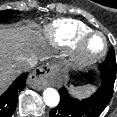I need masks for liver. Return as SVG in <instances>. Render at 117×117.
<instances>
[{"instance_id": "1", "label": "liver", "mask_w": 117, "mask_h": 117, "mask_svg": "<svg viewBox=\"0 0 117 117\" xmlns=\"http://www.w3.org/2000/svg\"><path fill=\"white\" fill-rule=\"evenodd\" d=\"M43 57L42 37L31 28H0V94L21 73V63Z\"/></svg>"}]
</instances>
